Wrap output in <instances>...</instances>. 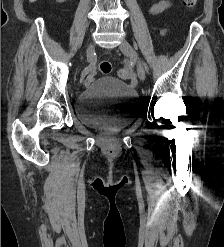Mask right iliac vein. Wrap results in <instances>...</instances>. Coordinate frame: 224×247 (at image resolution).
Segmentation results:
<instances>
[{
	"label": "right iliac vein",
	"instance_id": "63e3f726",
	"mask_svg": "<svg viewBox=\"0 0 224 247\" xmlns=\"http://www.w3.org/2000/svg\"><path fill=\"white\" fill-rule=\"evenodd\" d=\"M93 50H94V46L92 43H90L87 47V50H86V56L88 59H90L92 57Z\"/></svg>",
	"mask_w": 224,
	"mask_h": 247
}]
</instances>
